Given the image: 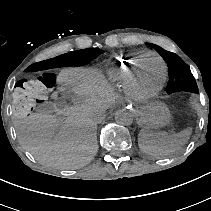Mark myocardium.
<instances>
[{"label":"myocardium","instance_id":"obj_1","mask_svg":"<svg viewBox=\"0 0 211 211\" xmlns=\"http://www.w3.org/2000/svg\"><path fill=\"white\" fill-rule=\"evenodd\" d=\"M149 59H155L160 64L161 71H162L161 80H160L159 84L157 85V87H155L152 90H146V89H144V87L142 86V83H141V74L142 73L140 71H138V72L132 74L131 75V92H132V95L138 100H147V99H151V98L155 97L156 95H158L159 92L162 90L163 84L165 81L166 67L161 58L152 57V58H148V59H143L140 63V68L143 69L146 65V61H148Z\"/></svg>","mask_w":211,"mask_h":211}]
</instances>
